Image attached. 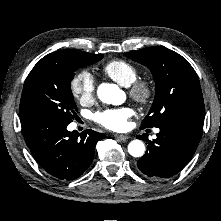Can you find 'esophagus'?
Masks as SVG:
<instances>
[{"label":"esophagus","mask_w":221,"mask_h":221,"mask_svg":"<svg viewBox=\"0 0 221 221\" xmlns=\"http://www.w3.org/2000/svg\"><path fill=\"white\" fill-rule=\"evenodd\" d=\"M115 138L121 140V141H126L129 139V136L127 135H121V134H115Z\"/></svg>","instance_id":"esophagus-1"}]
</instances>
